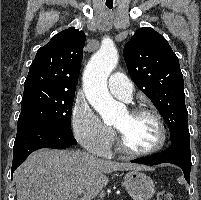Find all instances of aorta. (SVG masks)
<instances>
[{
    "label": "aorta",
    "mask_w": 201,
    "mask_h": 200,
    "mask_svg": "<svg viewBox=\"0 0 201 200\" xmlns=\"http://www.w3.org/2000/svg\"><path fill=\"white\" fill-rule=\"evenodd\" d=\"M117 63L118 52L113 42H103L83 73L86 98L107 125L113 124L119 116V104L107 88V79Z\"/></svg>",
    "instance_id": "762f6f07"
}]
</instances>
